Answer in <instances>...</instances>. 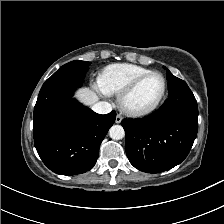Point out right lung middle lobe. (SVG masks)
I'll return each mask as SVG.
<instances>
[{
  "label": "right lung middle lobe",
  "mask_w": 224,
  "mask_h": 224,
  "mask_svg": "<svg viewBox=\"0 0 224 224\" xmlns=\"http://www.w3.org/2000/svg\"><path fill=\"white\" fill-rule=\"evenodd\" d=\"M89 64V62L85 61H72L60 67L52 76L71 77L82 81L88 70Z\"/></svg>",
  "instance_id": "dd1d6c3e"
}]
</instances>
